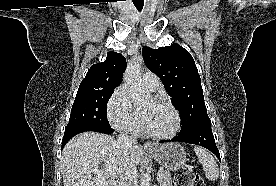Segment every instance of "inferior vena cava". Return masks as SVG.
Here are the masks:
<instances>
[{
	"label": "inferior vena cava",
	"mask_w": 276,
	"mask_h": 186,
	"mask_svg": "<svg viewBox=\"0 0 276 186\" xmlns=\"http://www.w3.org/2000/svg\"><path fill=\"white\" fill-rule=\"evenodd\" d=\"M117 144L124 149L137 145L134 137L121 133L118 135ZM137 169L133 165H127L120 173L118 186H137Z\"/></svg>",
	"instance_id": "inferior-vena-cava-1"
}]
</instances>
